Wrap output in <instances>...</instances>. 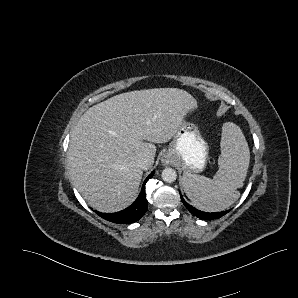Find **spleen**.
Segmentation results:
<instances>
[{"instance_id":"1","label":"spleen","mask_w":298,"mask_h":298,"mask_svg":"<svg viewBox=\"0 0 298 298\" xmlns=\"http://www.w3.org/2000/svg\"><path fill=\"white\" fill-rule=\"evenodd\" d=\"M219 169L212 179L184 173V192L199 210L214 213L226 210L240 198L250 165V148L242 128L234 122L222 126Z\"/></svg>"}]
</instances>
